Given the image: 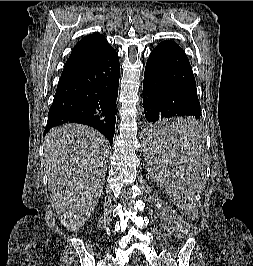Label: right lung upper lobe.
Returning a JSON list of instances; mask_svg holds the SVG:
<instances>
[{"label":"right lung upper lobe","instance_id":"right-lung-upper-lobe-1","mask_svg":"<svg viewBox=\"0 0 253 266\" xmlns=\"http://www.w3.org/2000/svg\"><path fill=\"white\" fill-rule=\"evenodd\" d=\"M110 49L112 47L103 35H87L75 45L63 71L95 59Z\"/></svg>","mask_w":253,"mask_h":266}]
</instances>
